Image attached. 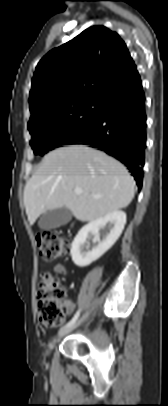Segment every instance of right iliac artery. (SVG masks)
<instances>
[{
	"instance_id": "right-iliac-artery-1",
	"label": "right iliac artery",
	"mask_w": 168,
	"mask_h": 406,
	"mask_svg": "<svg viewBox=\"0 0 168 406\" xmlns=\"http://www.w3.org/2000/svg\"><path fill=\"white\" fill-rule=\"evenodd\" d=\"M80 314V310L76 312V314L73 316V318L65 325V327L72 325L76 320L78 319Z\"/></svg>"
}]
</instances>
